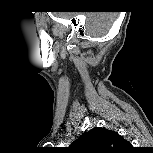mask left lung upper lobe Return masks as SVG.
<instances>
[{
	"instance_id": "1",
	"label": "left lung upper lobe",
	"mask_w": 153,
	"mask_h": 153,
	"mask_svg": "<svg viewBox=\"0 0 153 153\" xmlns=\"http://www.w3.org/2000/svg\"><path fill=\"white\" fill-rule=\"evenodd\" d=\"M129 146L117 132L96 127L83 133L70 147L79 153H116Z\"/></svg>"
}]
</instances>
